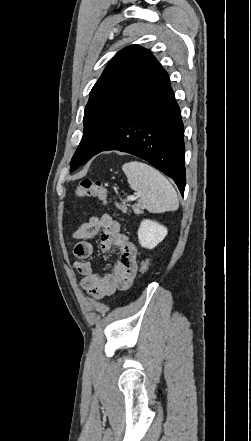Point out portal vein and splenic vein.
Masks as SVG:
<instances>
[{"instance_id": "portal-vein-and-splenic-vein-1", "label": "portal vein and splenic vein", "mask_w": 251, "mask_h": 441, "mask_svg": "<svg viewBox=\"0 0 251 441\" xmlns=\"http://www.w3.org/2000/svg\"><path fill=\"white\" fill-rule=\"evenodd\" d=\"M128 198H129V199H134L135 197L131 195V196H129Z\"/></svg>"}]
</instances>
